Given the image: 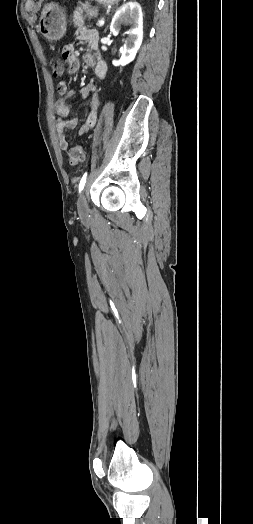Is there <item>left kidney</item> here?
<instances>
[{
	"label": "left kidney",
	"mask_w": 253,
	"mask_h": 524,
	"mask_svg": "<svg viewBox=\"0 0 253 524\" xmlns=\"http://www.w3.org/2000/svg\"><path fill=\"white\" fill-rule=\"evenodd\" d=\"M127 23L131 29L127 32L128 38L124 41L122 56L119 60H114V66H125L134 60L143 40V15L142 9L137 2H128L118 9L115 13L110 31L112 34H119L121 25Z\"/></svg>",
	"instance_id": "1"
}]
</instances>
